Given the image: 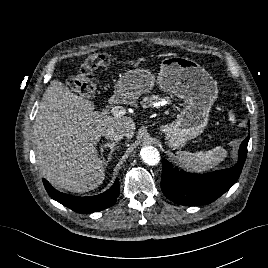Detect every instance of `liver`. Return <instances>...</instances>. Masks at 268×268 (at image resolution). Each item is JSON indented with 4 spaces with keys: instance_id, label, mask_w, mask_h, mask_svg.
<instances>
[{
    "instance_id": "6515ba94",
    "label": "liver",
    "mask_w": 268,
    "mask_h": 268,
    "mask_svg": "<svg viewBox=\"0 0 268 268\" xmlns=\"http://www.w3.org/2000/svg\"><path fill=\"white\" fill-rule=\"evenodd\" d=\"M119 126L132 138L131 117H112L95 111L92 101L51 81L39 104L33 126L36 162L52 184L72 192H87L105 179L104 162L95 146L105 129Z\"/></svg>"
}]
</instances>
